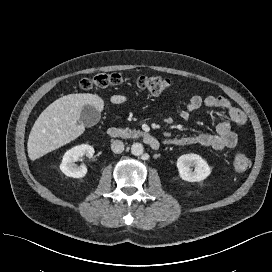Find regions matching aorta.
<instances>
[{
    "instance_id": "obj_1",
    "label": "aorta",
    "mask_w": 272,
    "mask_h": 272,
    "mask_svg": "<svg viewBox=\"0 0 272 272\" xmlns=\"http://www.w3.org/2000/svg\"><path fill=\"white\" fill-rule=\"evenodd\" d=\"M144 152V147L141 143H133V145L131 146V153L134 156H140L142 155Z\"/></svg>"
}]
</instances>
